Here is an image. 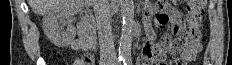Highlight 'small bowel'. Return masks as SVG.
Returning <instances> with one entry per match:
<instances>
[{
    "label": "small bowel",
    "instance_id": "obj_1",
    "mask_svg": "<svg viewBox=\"0 0 232 65\" xmlns=\"http://www.w3.org/2000/svg\"><path fill=\"white\" fill-rule=\"evenodd\" d=\"M155 14V9L152 6H146L144 14V26L146 29V39L142 47V64L143 65H157L156 54L158 46L153 45L155 38L154 30L151 26V18ZM155 25L159 29L169 27L171 31L177 36L181 37L185 33V24L183 17L176 11H170L169 14H158L155 19ZM81 36V35H80ZM72 49H89L88 42L82 37L74 41L71 45ZM160 65V64H158ZM161 65H172L171 62H161Z\"/></svg>",
    "mask_w": 232,
    "mask_h": 65
}]
</instances>
